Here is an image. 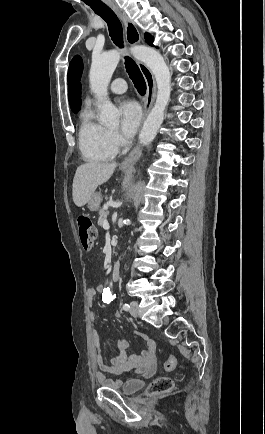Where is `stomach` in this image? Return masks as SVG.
Instances as JSON below:
<instances>
[{"label": "stomach", "instance_id": "1", "mask_svg": "<svg viewBox=\"0 0 265 434\" xmlns=\"http://www.w3.org/2000/svg\"><path fill=\"white\" fill-rule=\"evenodd\" d=\"M122 172H128V170H131V168H126V166H121ZM102 202V194L100 192H96V194H92L89 202H88V208L91 210V212H95V210H99V206Z\"/></svg>", "mask_w": 265, "mask_h": 434}]
</instances>
